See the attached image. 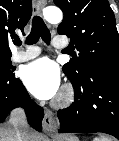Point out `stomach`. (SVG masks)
Returning <instances> with one entry per match:
<instances>
[{"mask_svg": "<svg viewBox=\"0 0 119 141\" xmlns=\"http://www.w3.org/2000/svg\"><path fill=\"white\" fill-rule=\"evenodd\" d=\"M60 141H79V139L75 136L68 135L62 137Z\"/></svg>", "mask_w": 119, "mask_h": 141, "instance_id": "1", "label": "stomach"}]
</instances>
